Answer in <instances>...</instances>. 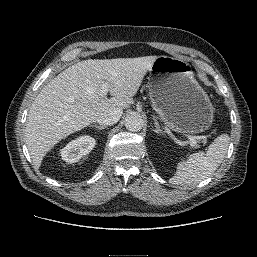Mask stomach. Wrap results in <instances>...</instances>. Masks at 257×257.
Returning a JSON list of instances; mask_svg holds the SVG:
<instances>
[{"mask_svg": "<svg viewBox=\"0 0 257 257\" xmlns=\"http://www.w3.org/2000/svg\"><path fill=\"white\" fill-rule=\"evenodd\" d=\"M191 68L186 60L158 56L149 69V95L156 112L182 134L206 131L214 120L210 99Z\"/></svg>", "mask_w": 257, "mask_h": 257, "instance_id": "1", "label": "stomach"}]
</instances>
